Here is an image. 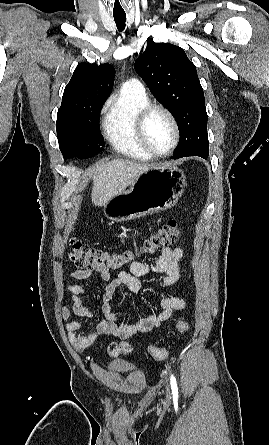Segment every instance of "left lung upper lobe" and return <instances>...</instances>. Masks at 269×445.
Wrapping results in <instances>:
<instances>
[{"mask_svg":"<svg viewBox=\"0 0 269 445\" xmlns=\"http://www.w3.org/2000/svg\"><path fill=\"white\" fill-rule=\"evenodd\" d=\"M134 68L155 98L177 121L180 142L173 159L209 155L204 92L195 65L184 50L154 43L138 57Z\"/></svg>","mask_w":269,"mask_h":445,"instance_id":"1","label":"left lung upper lobe"}]
</instances>
